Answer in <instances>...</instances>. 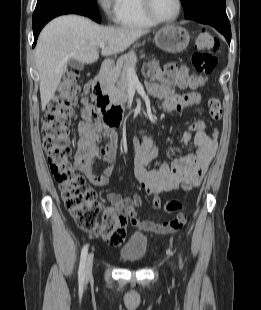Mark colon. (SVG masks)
<instances>
[{"label":"colon","instance_id":"colon-1","mask_svg":"<svg viewBox=\"0 0 261 310\" xmlns=\"http://www.w3.org/2000/svg\"><path fill=\"white\" fill-rule=\"evenodd\" d=\"M194 53L191 63L200 76L190 74L184 67L168 63L160 67L150 64L146 71L149 76L160 78L168 87L194 88L203 84V77L210 75L216 68L218 60L215 53L219 49V41L207 31H201L194 43ZM78 72L69 70L64 75L62 84L54 101L47 107L43 118V147L48 157L50 169L59 184L62 200L68 212L77 225L106 243L118 246L126 237L128 216L123 213L110 216L101 215L102 204L97 199L96 192L86 183L70 162L71 146L69 127L74 108L77 104ZM210 117L219 121L222 117V107L217 97L208 100ZM218 131L213 130L212 136L217 137ZM194 187L192 182H186L182 189L189 191ZM182 204L171 200L164 204L165 212L178 211ZM186 223V215L177 213L170 221L163 224H151L150 229L156 233L172 234L179 231Z\"/></svg>","mask_w":261,"mask_h":310}]
</instances>
